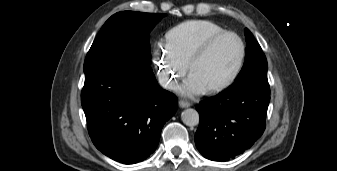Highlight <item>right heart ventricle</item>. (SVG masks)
<instances>
[{
    "label": "right heart ventricle",
    "instance_id": "e07e8e85",
    "mask_svg": "<svg viewBox=\"0 0 337 171\" xmlns=\"http://www.w3.org/2000/svg\"><path fill=\"white\" fill-rule=\"evenodd\" d=\"M225 31L210 20H188L166 33L165 45L186 65L198 46L208 38Z\"/></svg>",
    "mask_w": 337,
    "mask_h": 171
}]
</instances>
